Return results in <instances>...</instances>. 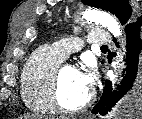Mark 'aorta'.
<instances>
[{"mask_svg":"<svg viewBox=\"0 0 142 119\" xmlns=\"http://www.w3.org/2000/svg\"><path fill=\"white\" fill-rule=\"evenodd\" d=\"M83 18L87 21L99 23L107 28L115 37H120L122 32L120 25L110 14L99 10H86L83 13Z\"/></svg>","mask_w":142,"mask_h":119,"instance_id":"aorta-1","label":"aorta"}]
</instances>
